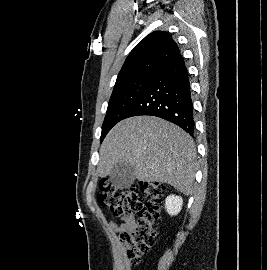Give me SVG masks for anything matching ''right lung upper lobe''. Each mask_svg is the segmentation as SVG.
I'll use <instances>...</instances> for the list:
<instances>
[{"mask_svg": "<svg viewBox=\"0 0 267 270\" xmlns=\"http://www.w3.org/2000/svg\"><path fill=\"white\" fill-rule=\"evenodd\" d=\"M179 54L177 44L167 32H152L129 53L115 86L137 76L155 75Z\"/></svg>", "mask_w": 267, "mask_h": 270, "instance_id": "cb5924a9", "label": "right lung upper lobe"}]
</instances>
